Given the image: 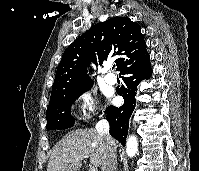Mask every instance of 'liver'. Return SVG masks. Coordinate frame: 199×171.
I'll return each mask as SVG.
<instances>
[{
  "label": "liver",
  "mask_w": 199,
  "mask_h": 171,
  "mask_svg": "<svg viewBox=\"0 0 199 171\" xmlns=\"http://www.w3.org/2000/svg\"><path fill=\"white\" fill-rule=\"evenodd\" d=\"M106 154V143L95 129H77L54 147L47 171H78L87 157L94 166L102 167Z\"/></svg>",
  "instance_id": "1"
}]
</instances>
